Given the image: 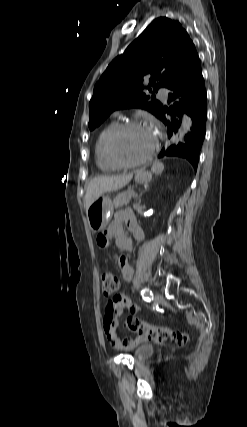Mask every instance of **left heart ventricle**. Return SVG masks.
I'll use <instances>...</instances> for the list:
<instances>
[{
	"label": "left heart ventricle",
	"mask_w": 247,
	"mask_h": 427,
	"mask_svg": "<svg viewBox=\"0 0 247 427\" xmlns=\"http://www.w3.org/2000/svg\"><path fill=\"white\" fill-rule=\"evenodd\" d=\"M155 139L146 127H135L125 131L117 142V152L126 161L142 158L151 148Z\"/></svg>",
	"instance_id": "b2bd125f"
}]
</instances>
